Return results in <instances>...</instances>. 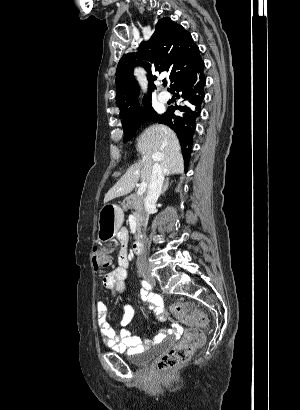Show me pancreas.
Here are the masks:
<instances>
[{"mask_svg":"<svg viewBox=\"0 0 300 410\" xmlns=\"http://www.w3.org/2000/svg\"><path fill=\"white\" fill-rule=\"evenodd\" d=\"M143 196H138L131 194L125 198L123 203L124 209H134V216L136 218L137 228L139 230L140 226L145 223V211L143 208ZM126 202V203H125Z\"/></svg>","mask_w":300,"mask_h":410,"instance_id":"obj_1","label":"pancreas"}]
</instances>
